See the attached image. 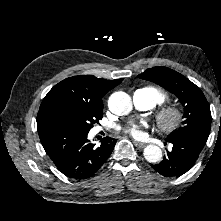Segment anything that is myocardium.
I'll use <instances>...</instances> for the list:
<instances>
[{
	"label": "myocardium",
	"mask_w": 221,
	"mask_h": 221,
	"mask_svg": "<svg viewBox=\"0 0 221 221\" xmlns=\"http://www.w3.org/2000/svg\"><path fill=\"white\" fill-rule=\"evenodd\" d=\"M183 120L181 109L176 106L162 108L157 114V124L161 131L170 133L177 130Z\"/></svg>",
	"instance_id": "f54148a6"
}]
</instances>
